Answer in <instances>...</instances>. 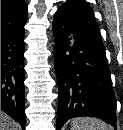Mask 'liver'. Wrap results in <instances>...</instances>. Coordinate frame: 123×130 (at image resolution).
<instances>
[{
    "label": "liver",
    "mask_w": 123,
    "mask_h": 130,
    "mask_svg": "<svg viewBox=\"0 0 123 130\" xmlns=\"http://www.w3.org/2000/svg\"><path fill=\"white\" fill-rule=\"evenodd\" d=\"M1 130H18V124L3 111H1Z\"/></svg>",
    "instance_id": "obj_1"
}]
</instances>
